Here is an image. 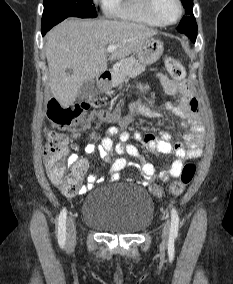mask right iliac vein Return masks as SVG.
Instances as JSON below:
<instances>
[{
    "instance_id": "63e3f726",
    "label": "right iliac vein",
    "mask_w": 233,
    "mask_h": 284,
    "mask_svg": "<svg viewBox=\"0 0 233 284\" xmlns=\"http://www.w3.org/2000/svg\"><path fill=\"white\" fill-rule=\"evenodd\" d=\"M67 229V243L69 247H73L76 242V228L74 225V220L72 217H69L66 225Z\"/></svg>"
}]
</instances>
